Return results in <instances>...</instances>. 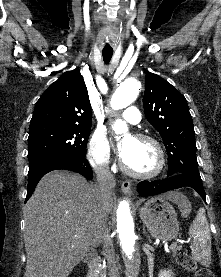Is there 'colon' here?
<instances>
[{"label": "colon", "mask_w": 221, "mask_h": 277, "mask_svg": "<svg viewBox=\"0 0 221 277\" xmlns=\"http://www.w3.org/2000/svg\"><path fill=\"white\" fill-rule=\"evenodd\" d=\"M178 261L184 269L194 273L196 277H215L211 270L199 267L196 261L186 253L180 254Z\"/></svg>", "instance_id": "obj_1"}]
</instances>
